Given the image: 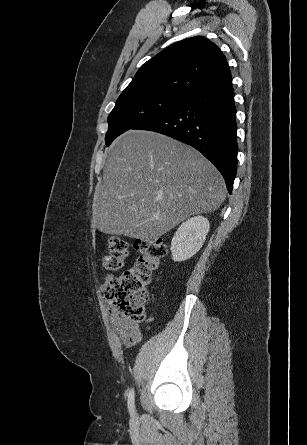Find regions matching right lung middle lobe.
<instances>
[{
    "label": "right lung middle lobe",
    "mask_w": 307,
    "mask_h": 445,
    "mask_svg": "<svg viewBox=\"0 0 307 445\" xmlns=\"http://www.w3.org/2000/svg\"><path fill=\"white\" fill-rule=\"evenodd\" d=\"M184 99L160 94L120 95L108 116L106 145L109 146L123 132L170 111Z\"/></svg>",
    "instance_id": "1"
}]
</instances>
